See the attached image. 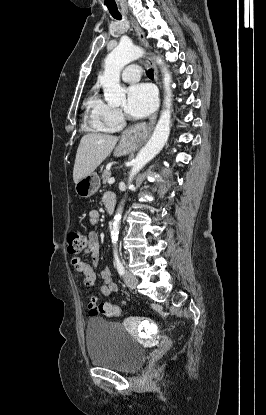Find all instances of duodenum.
Segmentation results:
<instances>
[{"label": "duodenum", "instance_id": "obj_1", "mask_svg": "<svg viewBox=\"0 0 266 415\" xmlns=\"http://www.w3.org/2000/svg\"><path fill=\"white\" fill-rule=\"evenodd\" d=\"M106 207H107L108 212L112 213L114 211L115 204L110 202V203L106 204Z\"/></svg>", "mask_w": 266, "mask_h": 415}]
</instances>
